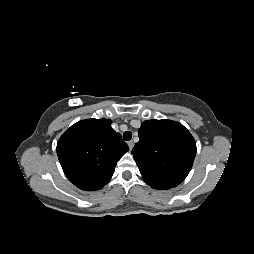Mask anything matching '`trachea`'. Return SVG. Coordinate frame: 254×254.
<instances>
[{"label": "trachea", "instance_id": "trachea-1", "mask_svg": "<svg viewBox=\"0 0 254 254\" xmlns=\"http://www.w3.org/2000/svg\"><path fill=\"white\" fill-rule=\"evenodd\" d=\"M131 138H132V133H131L130 131L124 132V134H123V139H124L125 141H129V140H131Z\"/></svg>", "mask_w": 254, "mask_h": 254}]
</instances>
